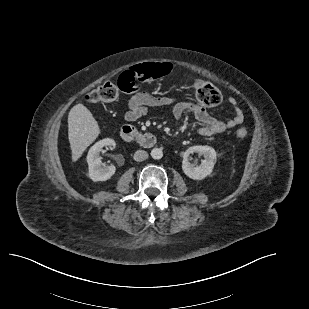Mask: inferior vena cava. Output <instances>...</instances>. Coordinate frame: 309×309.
<instances>
[{
	"label": "inferior vena cava",
	"instance_id": "inferior-vena-cava-1",
	"mask_svg": "<svg viewBox=\"0 0 309 309\" xmlns=\"http://www.w3.org/2000/svg\"><path fill=\"white\" fill-rule=\"evenodd\" d=\"M148 158V153L144 150H137L134 153V160L137 162L144 161Z\"/></svg>",
	"mask_w": 309,
	"mask_h": 309
}]
</instances>
